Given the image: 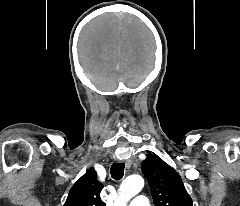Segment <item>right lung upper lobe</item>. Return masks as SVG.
<instances>
[{"instance_id":"cb5924a9","label":"right lung upper lobe","mask_w":240,"mask_h":206,"mask_svg":"<svg viewBox=\"0 0 240 206\" xmlns=\"http://www.w3.org/2000/svg\"><path fill=\"white\" fill-rule=\"evenodd\" d=\"M102 188L91 168L73 185L64 206H105L100 198Z\"/></svg>"}]
</instances>
